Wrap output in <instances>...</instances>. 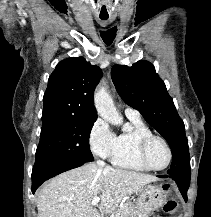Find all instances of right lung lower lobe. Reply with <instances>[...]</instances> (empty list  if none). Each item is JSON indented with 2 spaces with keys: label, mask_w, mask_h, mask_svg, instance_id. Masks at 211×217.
Returning a JSON list of instances; mask_svg holds the SVG:
<instances>
[{
  "label": "right lung lower lobe",
  "mask_w": 211,
  "mask_h": 217,
  "mask_svg": "<svg viewBox=\"0 0 211 217\" xmlns=\"http://www.w3.org/2000/svg\"><path fill=\"white\" fill-rule=\"evenodd\" d=\"M84 163L64 160H48L35 163L32 170V193L46 180Z\"/></svg>",
  "instance_id": "right-lung-lower-lobe-1"
}]
</instances>
